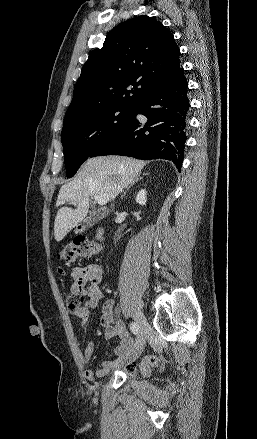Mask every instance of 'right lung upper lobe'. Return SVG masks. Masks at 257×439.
<instances>
[{"label": "right lung upper lobe", "mask_w": 257, "mask_h": 439, "mask_svg": "<svg viewBox=\"0 0 257 439\" xmlns=\"http://www.w3.org/2000/svg\"><path fill=\"white\" fill-rule=\"evenodd\" d=\"M179 54L173 35L155 18L139 16L119 24L103 47L90 53L64 120L108 106L136 108L180 69Z\"/></svg>", "instance_id": "right-lung-upper-lobe-1"}]
</instances>
